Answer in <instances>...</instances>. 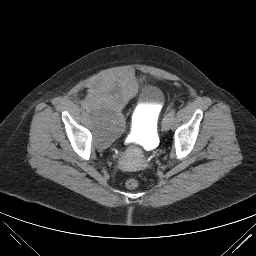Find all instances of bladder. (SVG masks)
<instances>
[{"instance_id":"1","label":"bladder","mask_w":256,"mask_h":256,"mask_svg":"<svg viewBox=\"0 0 256 256\" xmlns=\"http://www.w3.org/2000/svg\"><path fill=\"white\" fill-rule=\"evenodd\" d=\"M138 92L143 105L137 113L134 132L145 140L156 136L159 112L164 104L162 90L154 85L139 89L133 78L110 75L96 82L85 101L97 145L107 147L123 134V108Z\"/></svg>"}]
</instances>
